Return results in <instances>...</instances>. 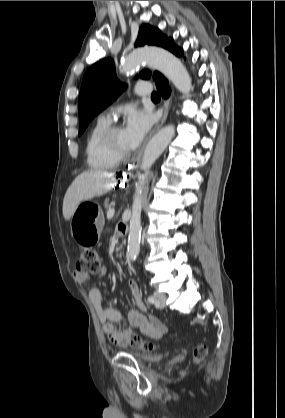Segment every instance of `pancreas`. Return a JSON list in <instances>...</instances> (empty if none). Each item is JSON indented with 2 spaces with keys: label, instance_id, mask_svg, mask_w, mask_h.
<instances>
[{
  "label": "pancreas",
  "instance_id": "obj_1",
  "mask_svg": "<svg viewBox=\"0 0 285 418\" xmlns=\"http://www.w3.org/2000/svg\"><path fill=\"white\" fill-rule=\"evenodd\" d=\"M104 208L108 211L111 208V205L107 201H105Z\"/></svg>",
  "mask_w": 285,
  "mask_h": 418
}]
</instances>
